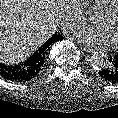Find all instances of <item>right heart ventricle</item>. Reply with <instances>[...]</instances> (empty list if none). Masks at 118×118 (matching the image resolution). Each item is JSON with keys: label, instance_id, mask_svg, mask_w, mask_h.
<instances>
[{"label": "right heart ventricle", "instance_id": "right-heart-ventricle-1", "mask_svg": "<svg viewBox=\"0 0 118 118\" xmlns=\"http://www.w3.org/2000/svg\"><path fill=\"white\" fill-rule=\"evenodd\" d=\"M88 8L94 13H99L111 0H85Z\"/></svg>", "mask_w": 118, "mask_h": 118}]
</instances>
